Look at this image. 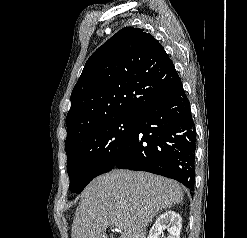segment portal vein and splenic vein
I'll list each match as a JSON object with an SVG mask.
<instances>
[{
	"label": "portal vein and splenic vein",
	"instance_id": "obj_1",
	"mask_svg": "<svg viewBox=\"0 0 247 238\" xmlns=\"http://www.w3.org/2000/svg\"><path fill=\"white\" fill-rule=\"evenodd\" d=\"M116 228L117 229H121L122 228V225L121 224H116Z\"/></svg>",
	"mask_w": 247,
	"mask_h": 238
}]
</instances>
